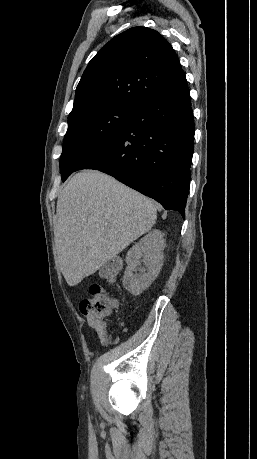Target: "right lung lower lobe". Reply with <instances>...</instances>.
<instances>
[{
    "instance_id": "obj_1",
    "label": "right lung lower lobe",
    "mask_w": 257,
    "mask_h": 459,
    "mask_svg": "<svg viewBox=\"0 0 257 459\" xmlns=\"http://www.w3.org/2000/svg\"><path fill=\"white\" fill-rule=\"evenodd\" d=\"M194 117L185 75L135 107L128 126L77 170L96 169L185 219Z\"/></svg>"
}]
</instances>
